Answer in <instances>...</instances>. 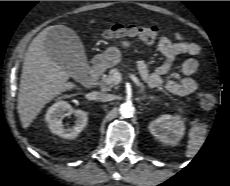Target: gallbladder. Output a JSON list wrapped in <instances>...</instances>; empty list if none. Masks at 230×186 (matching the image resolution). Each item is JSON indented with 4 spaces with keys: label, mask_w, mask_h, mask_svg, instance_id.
<instances>
[{
    "label": "gallbladder",
    "mask_w": 230,
    "mask_h": 186,
    "mask_svg": "<svg viewBox=\"0 0 230 186\" xmlns=\"http://www.w3.org/2000/svg\"><path fill=\"white\" fill-rule=\"evenodd\" d=\"M44 46L47 54L62 66L75 80L83 82L86 78V55L76 33L65 27L56 26L48 31Z\"/></svg>",
    "instance_id": "obj_1"
}]
</instances>
